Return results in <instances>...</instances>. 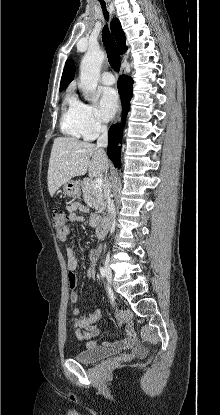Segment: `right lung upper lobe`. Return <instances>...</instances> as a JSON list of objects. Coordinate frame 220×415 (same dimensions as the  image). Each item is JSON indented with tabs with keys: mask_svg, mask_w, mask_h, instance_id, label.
<instances>
[{
	"mask_svg": "<svg viewBox=\"0 0 220 415\" xmlns=\"http://www.w3.org/2000/svg\"><path fill=\"white\" fill-rule=\"evenodd\" d=\"M111 32L113 33L120 54H124L127 50L125 42V34L121 28V24L117 18H114L110 24ZM75 74V65L73 60H67L60 83V90H63L73 80Z\"/></svg>",
	"mask_w": 220,
	"mask_h": 415,
	"instance_id": "cb5924a9",
	"label": "right lung upper lobe"
}]
</instances>
